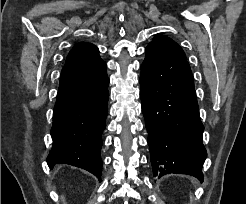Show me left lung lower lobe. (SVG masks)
<instances>
[{
	"label": "left lung lower lobe",
	"instance_id": "0a47b994",
	"mask_svg": "<svg viewBox=\"0 0 246 204\" xmlns=\"http://www.w3.org/2000/svg\"><path fill=\"white\" fill-rule=\"evenodd\" d=\"M145 53L140 96L154 176L179 173L202 182L207 152L190 66L155 46Z\"/></svg>",
	"mask_w": 246,
	"mask_h": 204
}]
</instances>
